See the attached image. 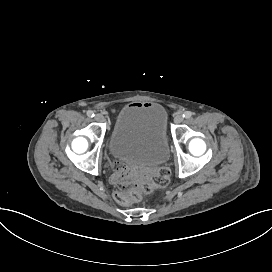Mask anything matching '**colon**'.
I'll return each mask as SVG.
<instances>
[{"instance_id":"5ec220e1","label":"colon","mask_w":272,"mask_h":272,"mask_svg":"<svg viewBox=\"0 0 272 272\" xmlns=\"http://www.w3.org/2000/svg\"><path fill=\"white\" fill-rule=\"evenodd\" d=\"M111 176L117 187L115 201L119 205H128L135 200L134 194L147 196L151 194L153 187L166 185L170 171L166 168L155 169L151 177L144 178L139 174L129 173L124 163L114 162L111 167Z\"/></svg>"}]
</instances>
